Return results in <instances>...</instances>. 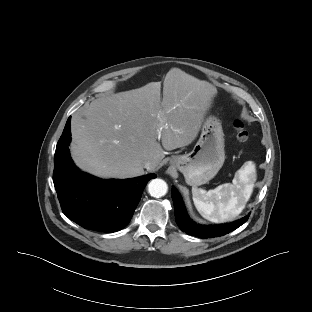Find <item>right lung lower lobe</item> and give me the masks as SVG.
Segmentation results:
<instances>
[{
  "label": "right lung lower lobe",
  "instance_id": "98d812e1",
  "mask_svg": "<svg viewBox=\"0 0 312 312\" xmlns=\"http://www.w3.org/2000/svg\"><path fill=\"white\" fill-rule=\"evenodd\" d=\"M70 122L71 117L57 143L54 156L53 182L62 211L83 228L119 231L130 222L146 184L156 175L102 180L82 173L69 153Z\"/></svg>",
  "mask_w": 312,
  "mask_h": 312
}]
</instances>
